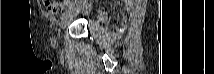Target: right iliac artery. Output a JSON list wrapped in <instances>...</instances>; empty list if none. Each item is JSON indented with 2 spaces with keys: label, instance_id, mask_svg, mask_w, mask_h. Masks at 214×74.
Returning <instances> with one entry per match:
<instances>
[{
  "label": "right iliac artery",
  "instance_id": "obj_1",
  "mask_svg": "<svg viewBox=\"0 0 214 74\" xmlns=\"http://www.w3.org/2000/svg\"><path fill=\"white\" fill-rule=\"evenodd\" d=\"M66 4H67V3H66ZM70 10H71L70 7H69V9H66L65 12L62 14V18H63V16H65V14H67Z\"/></svg>",
  "mask_w": 214,
  "mask_h": 74
}]
</instances>
